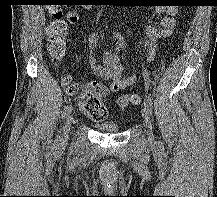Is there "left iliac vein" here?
<instances>
[{
	"label": "left iliac vein",
	"instance_id": "left-iliac-vein-1",
	"mask_svg": "<svg viewBox=\"0 0 217 197\" xmlns=\"http://www.w3.org/2000/svg\"><path fill=\"white\" fill-rule=\"evenodd\" d=\"M141 114H142V117L144 119V124L147 128L148 140L151 144H154L155 139H154L153 130H152L150 112L148 111V109L146 107H144L141 110Z\"/></svg>",
	"mask_w": 217,
	"mask_h": 197
}]
</instances>
